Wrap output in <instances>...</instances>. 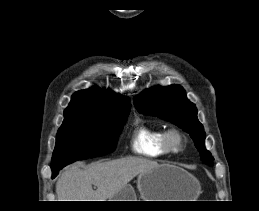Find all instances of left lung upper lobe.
Masks as SVG:
<instances>
[{
    "label": "left lung upper lobe",
    "mask_w": 259,
    "mask_h": 211,
    "mask_svg": "<svg viewBox=\"0 0 259 211\" xmlns=\"http://www.w3.org/2000/svg\"><path fill=\"white\" fill-rule=\"evenodd\" d=\"M134 105L139 112L168 120L189 133L201 159L213 165L214 158L205 148V132L197 119V108L187 99L181 86H158L145 90L134 99Z\"/></svg>",
    "instance_id": "1"
}]
</instances>
